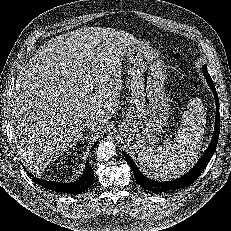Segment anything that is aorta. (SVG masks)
I'll return each mask as SVG.
<instances>
[{"instance_id": "aorta-1", "label": "aorta", "mask_w": 231, "mask_h": 231, "mask_svg": "<svg viewBox=\"0 0 231 231\" xmlns=\"http://www.w3.org/2000/svg\"><path fill=\"white\" fill-rule=\"evenodd\" d=\"M116 154V146L112 141L101 142L96 149V157L99 161H107Z\"/></svg>"}]
</instances>
